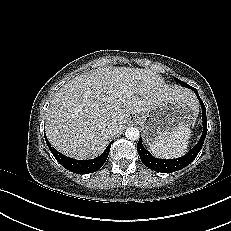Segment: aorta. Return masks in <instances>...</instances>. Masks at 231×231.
<instances>
[{
    "label": "aorta",
    "mask_w": 231,
    "mask_h": 231,
    "mask_svg": "<svg viewBox=\"0 0 231 231\" xmlns=\"http://www.w3.org/2000/svg\"><path fill=\"white\" fill-rule=\"evenodd\" d=\"M125 136L128 140L135 141L138 140L140 137V132L135 127H129L125 131Z\"/></svg>",
    "instance_id": "762f6f07"
}]
</instances>
